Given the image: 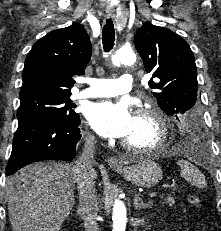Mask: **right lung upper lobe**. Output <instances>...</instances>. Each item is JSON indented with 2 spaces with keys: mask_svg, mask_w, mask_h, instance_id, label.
<instances>
[{
  "mask_svg": "<svg viewBox=\"0 0 221 231\" xmlns=\"http://www.w3.org/2000/svg\"><path fill=\"white\" fill-rule=\"evenodd\" d=\"M91 42L81 24L49 32L25 59L20 99L50 95L70 96L75 81L91 58Z\"/></svg>",
  "mask_w": 221,
  "mask_h": 231,
  "instance_id": "obj_1",
  "label": "right lung upper lobe"
}]
</instances>
